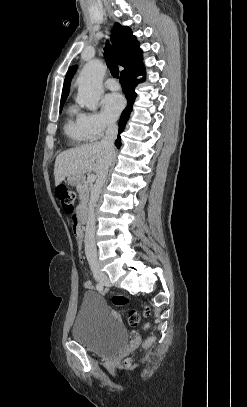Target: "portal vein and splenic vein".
Here are the masks:
<instances>
[{"mask_svg": "<svg viewBox=\"0 0 247 407\" xmlns=\"http://www.w3.org/2000/svg\"><path fill=\"white\" fill-rule=\"evenodd\" d=\"M95 180H96V175H94V174L88 175V177H87L88 182L92 183Z\"/></svg>", "mask_w": 247, "mask_h": 407, "instance_id": "portal-vein-and-splenic-vein-1", "label": "portal vein and splenic vein"}]
</instances>
